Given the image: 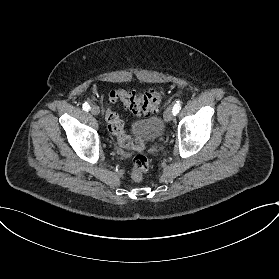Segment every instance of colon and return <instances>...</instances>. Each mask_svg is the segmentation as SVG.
Segmentation results:
<instances>
[{"label": "colon", "instance_id": "obj_1", "mask_svg": "<svg viewBox=\"0 0 279 279\" xmlns=\"http://www.w3.org/2000/svg\"><path fill=\"white\" fill-rule=\"evenodd\" d=\"M162 99L163 93L155 89L143 93H135L117 88L109 92L110 103L120 101L134 114L149 115L154 113L159 109ZM105 119L108 123L109 131L122 148L136 151L144 150V142L141 139H134L126 133L122 118L112 108L106 109ZM132 165V178L136 181H141L149 169V160L145 156L138 155L133 158Z\"/></svg>", "mask_w": 279, "mask_h": 279}]
</instances>
